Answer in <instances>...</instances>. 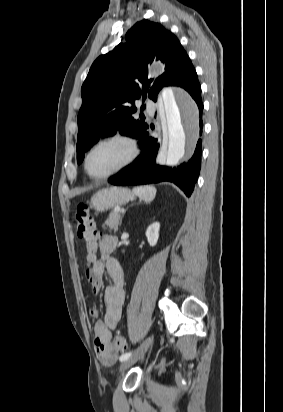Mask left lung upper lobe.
<instances>
[{"mask_svg":"<svg viewBox=\"0 0 283 412\" xmlns=\"http://www.w3.org/2000/svg\"><path fill=\"white\" fill-rule=\"evenodd\" d=\"M155 58L165 64L166 71L153 81L148 80V63ZM193 68L186 51L170 31L148 20L136 23L123 43L94 61L82 85L77 163L82 162L84 153L101 136L116 131L138 136L148 124L132 116L137 111L135 100L156 101L164 85H176Z\"/></svg>","mask_w":283,"mask_h":412,"instance_id":"obj_1","label":"left lung upper lobe"}]
</instances>
